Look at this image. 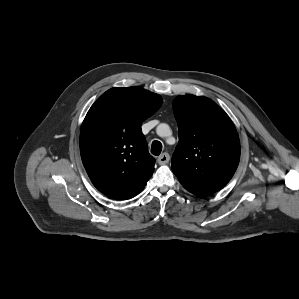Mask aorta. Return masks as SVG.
<instances>
[{"mask_svg":"<svg viewBox=\"0 0 299 299\" xmlns=\"http://www.w3.org/2000/svg\"><path fill=\"white\" fill-rule=\"evenodd\" d=\"M169 130V126L167 124H160L157 127V133L160 135L161 131H168Z\"/></svg>","mask_w":299,"mask_h":299,"instance_id":"aorta-1","label":"aorta"}]
</instances>
